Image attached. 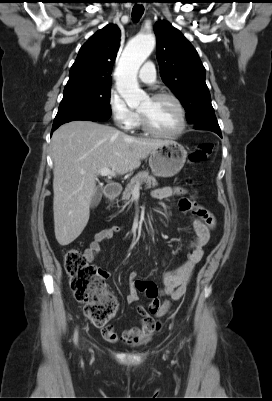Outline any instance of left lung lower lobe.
<instances>
[{
  "label": "left lung lower lobe",
  "mask_w": 272,
  "mask_h": 401,
  "mask_svg": "<svg viewBox=\"0 0 272 401\" xmlns=\"http://www.w3.org/2000/svg\"><path fill=\"white\" fill-rule=\"evenodd\" d=\"M193 125H194L195 129L210 130L212 132L217 133L220 137H222L221 130H220V127H219L216 119H207V120L198 121V122L194 123Z\"/></svg>",
  "instance_id": "obj_1"
}]
</instances>
